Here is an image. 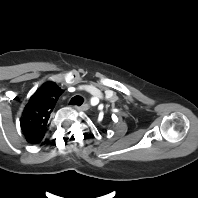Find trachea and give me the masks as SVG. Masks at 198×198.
<instances>
[{
	"label": "trachea",
	"mask_w": 198,
	"mask_h": 198,
	"mask_svg": "<svg viewBox=\"0 0 198 198\" xmlns=\"http://www.w3.org/2000/svg\"><path fill=\"white\" fill-rule=\"evenodd\" d=\"M84 99L81 96H74L71 100H70V104L71 105H77L80 106L82 105Z\"/></svg>",
	"instance_id": "3493384b"
}]
</instances>
